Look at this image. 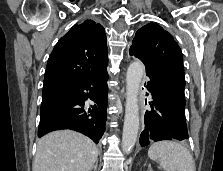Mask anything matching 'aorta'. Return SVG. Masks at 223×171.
<instances>
[{"mask_svg": "<svg viewBox=\"0 0 223 171\" xmlns=\"http://www.w3.org/2000/svg\"><path fill=\"white\" fill-rule=\"evenodd\" d=\"M145 72L141 61H133L126 74V105L122 134V150L129 154L133 149L139 130L138 93Z\"/></svg>", "mask_w": 223, "mask_h": 171, "instance_id": "1", "label": "aorta"}]
</instances>
